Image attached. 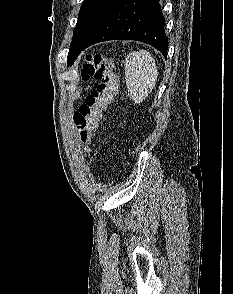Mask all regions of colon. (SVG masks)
Returning a JSON list of instances; mask_svg holds the SVG:
<instances>
[{
	"mask_svg": "<svg viewBox=\"0 0 233 294\" xmlns=\"http://www.w3.org/2000/svg\"><path fill=\"white\" fill-rule=\"evenodd\" d=\"M91 78H95L98 84L85 98L73 117L79 141L84 145L89 143L91 132L96 130L103 111L108 107L118 89L112 61L100 53L88 54L86 57L82 79L87 81Z\"/></svg>",
	"mask_w": 233,
	"mask_h": 294,
	"instance_id": "5ec220e1",
	"label": "colon"
}]
</instances>
